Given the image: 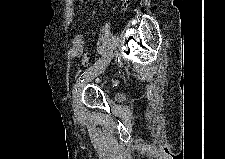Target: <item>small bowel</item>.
<instances>
[{
    "label": "small bowel",
    "mask_w": 225,
    "mask_h": 159,
    "mask_svg": "<svg viewBox=\"0 0 225 159\" xmlns=\"http://www.w3.org/2000/svg\"><path fill=\"white\" fill-rule=\"evenodd\" d=\"M69 15H70V18H73V16H74V10L72 7V3H69ZM84 46H85V43H84L83 35L77 34L74 37L72 45L69 50L70 56L72 58L79 57L84 51Z\"/></svg>",
    "instance_id": "1"
}]
</instances>
